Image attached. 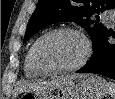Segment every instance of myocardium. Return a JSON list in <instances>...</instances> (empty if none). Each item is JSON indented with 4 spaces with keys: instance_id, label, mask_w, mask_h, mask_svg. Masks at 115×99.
Wrapping results in <instances>:
<instances>
[{
    "instance_id": "obj_1",
    "label": "myocardium",
    "mask_w": 115,
    "mask_h": 99,
    "mask_svg": "<svg viewBox=\"0 0 115 99\" xmlns=\"http://www.w3.org/2000/svg\"><path fill=\"white\" fill-rule=\"evenodd\" d=\"M59 33H70V34L78 36L84 44V53L82 57L80 58V60L73 65L60 67V68H49L45 66L40 60L39 46L46 38L55 34H59ZM91 53H92V46L87 36L82 31L72 28V27H59V28H55L44 33L35 41V43L33 44V49H32L33 62L36 68L41 73L46 74V75H54V74H61V73L76 71L80 69L81 67H83L88 62L91 56Z\"/></svg>"
}]
</instances>
